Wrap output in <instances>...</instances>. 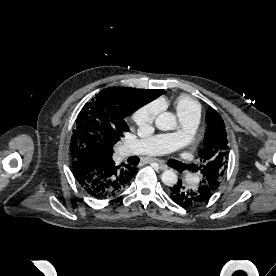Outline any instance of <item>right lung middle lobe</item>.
<instances>
[{"label": "right lung middle lobe", "instance_id": "right-lung-middle-lobe-1", "mask_svg": "<svg viewBox=\"0 0 276 276\" xmlns=\"http://www.w3.org/2000/svg\"><path fill=\"white\" fill-rule=\"evenodd\" d=\"M134 95V98L125 97L104 89L84 105L77 116L71 138V159L79 153L98 157L120 140L128 130L125 118L147 98L142 91H136Z\"/></svg>", "mask_w": 276, "mask_h": 276}]
</instances>
